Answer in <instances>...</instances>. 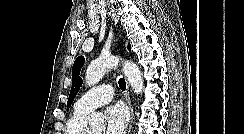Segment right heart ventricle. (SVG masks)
<instances>
[{
  "instance_id": "obj_1",
  "label": "right heart ventricle",
  "mask_w": 244,
  "mask_h": 134,
  "mask_svg": "<svg viewBox=\"0 0 244 134\" xmlns=\"http://www.w3.org/2000/svg\"><path fill=\"white\" fill-rule=\"evenodd\" d=\"M87 112L74 110L73 115L69 118L65 134H89L86 124Z\"/></svg>"
}]
</instances>
